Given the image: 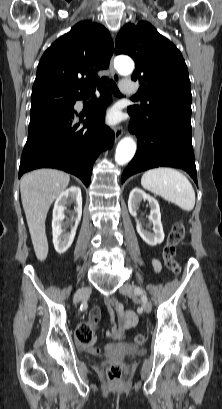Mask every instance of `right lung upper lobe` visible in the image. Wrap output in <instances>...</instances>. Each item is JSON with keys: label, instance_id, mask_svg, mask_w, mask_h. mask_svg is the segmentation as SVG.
<instances>
[{"label": "right lung upper lobe", "instance_id": "1", "mask_svg": "<svg viewBox=\"0 0 222 409\" xmlns=\"http://www.w3.org/2000/svg\"><path fill=\"white\" fill-rule=\"evenodd\" d=\"M113 54L107 29L91 21L77 23L43 54L32 89V106L74 103L86 99ZM103 77L101 83H106ZM98 85V86H99Z\"/></svg>", "mask_w": 222, "mask_h": 409}]
</instances>
